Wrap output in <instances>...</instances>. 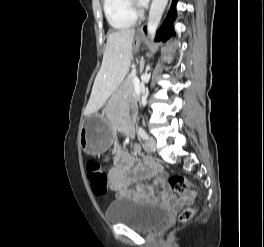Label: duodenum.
<instances>
[{
    "mask_svg": "<svg viewBox=\"0 0 264 247\" xmlns=\"http://www.w3.org/2000/svg\"><path fill=\"white\" fill-rule=\"evenodd\" d=\"M133 117L132 116H129V121H132Z\"/></svg>",
    "mask_w": 264,
    "mask_h": 247,
    "instance_id": "1",
    "label": "duodenum"
}]
</instances>
